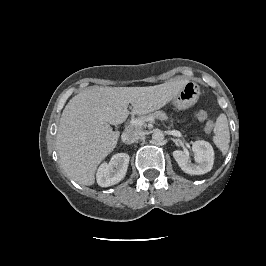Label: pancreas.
I'll return each mask as SVG.
<instances>
[{
    "label": "pancreas",
    "instance_id": "pancreas-1",
    "mask_svg": "<svg viewBox=\"0 0 266 266\" xmlns=\"http://www.w3.org/2000/svg\"><path fill=\"white\" fill-rule=\"evenodd\" d=\"M150 116L154 117V118H157V119H160V120H167L168 119L166 113L163 112V111H155V112L150 113L148 115H142L139 118H147V117H150Z\"/></svg>",
    "mask_w": 266,
    "mask_h": 266
}]
</instances>
